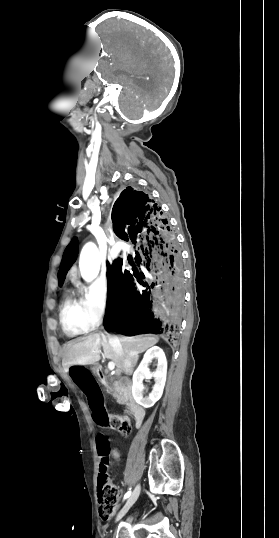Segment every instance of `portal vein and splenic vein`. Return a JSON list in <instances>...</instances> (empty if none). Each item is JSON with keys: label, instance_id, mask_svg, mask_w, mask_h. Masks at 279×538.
I'll use <instances>...</instances> for the list:
<instances>
[{"label": "portal vein and splenic vein", "instance_id": "1", "mask_svg": "<svg viewBox=\"0 0 279 538\" xmlns=\"http://www.w3.org/2000/svg\"><path fill=\"white\" fill-rule=\"evenodd\" d=\"M114 368H115V364H114V362H109V364H108V370H114Z\"/></svg>", "mask_w": 279, "mask_h": 538}]
</instances>
